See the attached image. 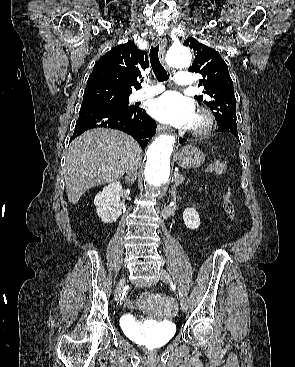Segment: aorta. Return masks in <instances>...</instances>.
Instances as JSON below:
<instances>
[{
	"label": "aorta",
	"mask_w": 295,
	"mask_h": 367,
	"mask_svg": "<svg viewBox=\"0 0 295 367\" xmlns=\"http://www.w3.org/2000/svg\"><path fill=\"white\" fill-rule=\"evenodd\" d=\"M191 53L184 46L169 49L166 62L174 68H186L191 64ZM175 144V137L161 134L150 144L146 152L144 170L145 183L152 192H159L170 179V156Z\"/></svg>",
	"instance_id": "aorta-1"
}]
</instances>
